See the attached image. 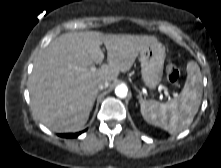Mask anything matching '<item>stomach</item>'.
Masks as SVG:
<instances>
[{"mask_svg": "<svg viewBox=\"0 0 221 168\" xmlns=\"http://www.w3.org/2000/svg\"><path fill=\"white\" fill-rule=\"evenodd\" d=\"M165 55V47L161 43L140 52L142 80L150 89H155L162 81Z\"/></svg>", "mask_w": 221, "mask_h": 168, "instance_id": "stomach-1", "label": "stomach"}]
</instances>
